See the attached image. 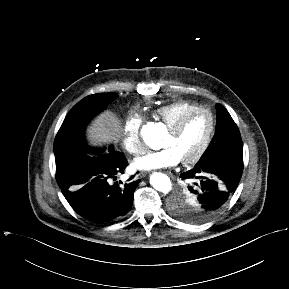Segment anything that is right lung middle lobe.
<instances>
[{
	"mask_svg": "<svg viewBox=\"0 0 289 289\" xmlns=\"http://www.w3.org/2000/svg\"><path fill=\"white\" fill-rule=\"evenodd\" d=\"M116 96V93L89 95L70 110L55 138V160L76 151L85 152L88 150L84 142V128L86 124Z\"/></svg>",
	"mask_w": 289,
	"mask_h": 289,
	"instance_id": "obj_1",
	"label": "right lung middle lobe"
}]
</instances>
